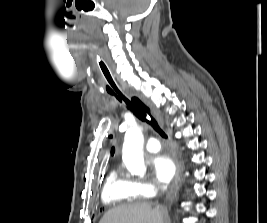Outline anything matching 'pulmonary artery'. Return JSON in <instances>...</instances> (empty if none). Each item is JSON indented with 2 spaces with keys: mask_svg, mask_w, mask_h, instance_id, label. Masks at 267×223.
<instances>
[{
  "mask_svg": "<svg viewBox=\"0 0 267 223\" xmlns=\"http://www.w3.org/2000/svg\"><path fill=\"white\" fill-rule=\"evenodd\" d=\"M160 148L161 144L156 138L149 139L145 144V149L149 152H157Z\"/></svg>",
  "mask_w": 267,
  "mask_h": 223,
  "instance_id": "1",
  "label": "pulmonary artery"
}]
</instances>
